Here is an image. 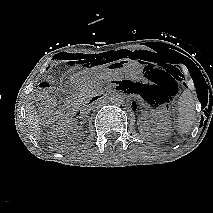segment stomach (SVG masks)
Wrapping results in <instances>:
<instances>
[{"label": "stomach", "instance_id": "0dacf381", "mask_svg": "<svg viewBox=\"0 0 213 213\" xmlns=\"http://www.w3.org/2000/svg\"><path fill=\"white\" fill-rule=\"evenodd\" d=\"M136 70H138V66L132 61L116 62L114 64H108L80 72L72 77V82L77 86H82L92 81H99L105 78L126 75L129 72Z\"/></svg>", "mask_w": 213, "mask_h": 213}]
</instances>
